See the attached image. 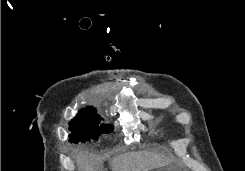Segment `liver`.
<instances>
[{"mask_svg":"<svg viewBox=\"0 0 245 171\" xmlns=\"http://www.w3.org/2000/svg\"><path fill=\"white\" fill-rule=\"evenodd\" d=\"M172 160L161 154L141 151L128 152L113 158L112 171H150L170 164ZM76 162L80 171H97L99 159L84 152H78Z\"/></svg>","mask_w":245,"mask_h":171,"instance_id":"liver-1","label":"liver"}]
</instances>
